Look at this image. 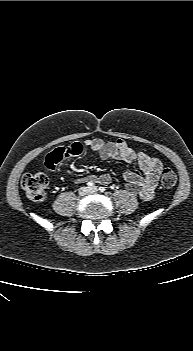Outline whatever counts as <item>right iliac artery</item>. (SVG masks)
Masks as SVG:
<instances>
[{
  "label": "right iliac artery",
  "mask_w": 193,
  "mask_h": 351,
  "mask_svg": "<svg viewBox=\"0 0 193 351\" xmlns=\"http://www.w3.org/2000/svg\"><path fill=\"white\" fill-rule=\"evenodd\" d=\"M87 186H88V187H94V183H93V182H88V183H87Z\"/></svg>",
  "instance_id": "right-iliac-artery-1"
}]
</instances>
